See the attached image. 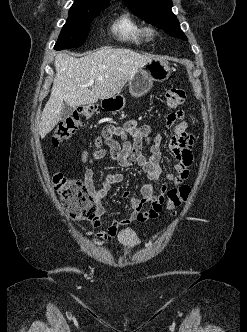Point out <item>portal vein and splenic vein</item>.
Wrapping results in <instances>:
<instances>
[{"instance_id": "obj_1", "label": "portal vein and splenic vein", "mask_w": 247, "mask_h": 332, "mask_svg": "<svg viewBox=\"0 0 247 332\" xmlns=\"http://www.w3.org/2000/svg\"><path fill=\"white\" fill-rule=\"evenodd\" d=\"M94 85V80L89 81L84 87H89Z\"/></svg>"}]
</instances>
